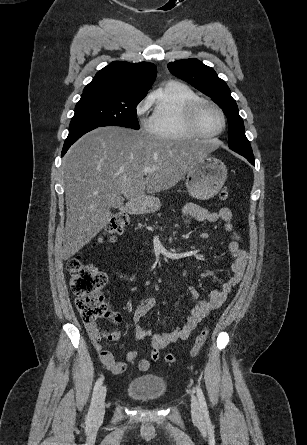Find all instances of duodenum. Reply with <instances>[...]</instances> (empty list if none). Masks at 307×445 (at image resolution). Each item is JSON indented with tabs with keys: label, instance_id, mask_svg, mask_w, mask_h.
Instances as JSON below:
<instances>
[{
	"label": "duodenum",
	"instance_id": "410a0bca",
	"mask_svg": "<svg viewBox=\"0 0 307 445\" xmlns=\"http://www.w3.org/2000/svg\"><path fill=\"white\" fill-rule=\"evenodd\" d=\"M146 203V197H138L127 204L126 211L132 215L139 214L143 211Z\"/></svg>",
	"mask_w": 307,
	"mask_h": 445
}]
</instances>
